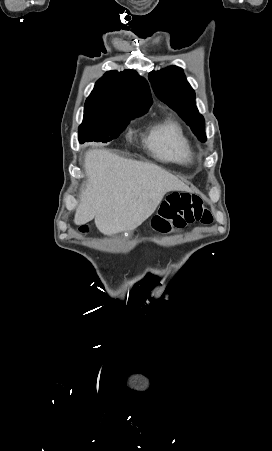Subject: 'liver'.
I'll return each instance as SVG.
<instances>
[{
    "label": "liver",
    "instance_id": "1",
    "mask_svg": "<svg viewBox=\"0 0 272 451\" xmlns=\"http://www.w3.org/2000/svg\"><path fill=\"white\" fill-rule=\"evenodd\" d=\"M84 168L87 180L74 222L81 226L94 218L105 235L141 226L166 192H190L189 186L159 166L120 158L109 150L86 152Z\"/></svg>",
    "mask_w": 272,
    "mask_h": 451
}]
</instances>
